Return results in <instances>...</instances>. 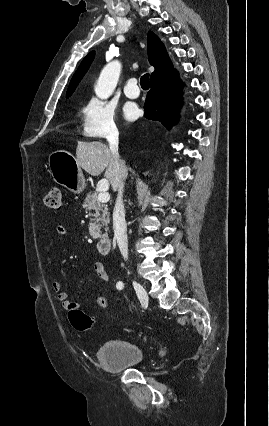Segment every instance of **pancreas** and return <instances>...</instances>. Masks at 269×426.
<instances>
[{
	"label": "pancreas",
	"instance_id": "cf45deb5",
	"mask_svg": "<svg viewBox=\"0 0 269 426\" xmlns=\"http://www.w3.org/2000/svg\"><path fill=\"white\" fill-rule=\"evenodd\" d=\"M83 207L89 212L90 216L93 217L90 219L89 224V233L91 237L94 239L99 238L101 233L100 228L106 226L107 230V226L110 222L107 204L99 202L96 193H89L84 200Z\"/></svg>",
	"mask_w": 269,
	"mask_h": 426
}]
</instances>
